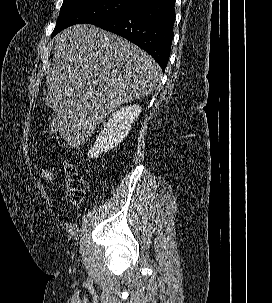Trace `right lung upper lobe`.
<instances>
[{
    "instance_id": "1",
    "label": "right lung upper lobe",
    "mask_w": 272,
    "mask_h": 303,
    "mask_svg": "<svg viewBox=\"0 0 272 303\" xmlns=\"http://www.w3.org/2000/svg\"><path fill=\"white\" fill-rule=\"evenodd\" d=\"M132 1H135L138 5H142L153 0H132Z\"/></svg>"
}]
</instances>
